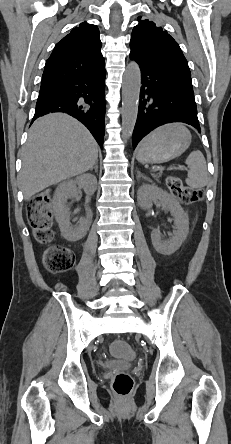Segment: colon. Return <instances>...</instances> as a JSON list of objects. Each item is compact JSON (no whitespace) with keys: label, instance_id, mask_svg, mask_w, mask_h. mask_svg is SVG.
<instances>
[{"label":"colon","instance_id":"1","mask_svg":"<svg viewBox=\"0 0 231 444\" xmlns=\"http://www.w3.org/2000/svg\"><path fill=\"white\" fill-rule=\"evenodd\" d=\"M166 184L171 193L185 205L196 203L202 200L204 196L203 189L185 186L181 179L175 175L169 176ZM27 214L36 240L40 243L50 242L53 231L49 194L42 192L31 198L28 203ZM43 262L51 273L59 274L68 271L73 266L74 255L67 248L52 246L44 252ZM110 349L112 354L118 357L129 359L133 356L131 346L121 340L112 342ZM133 385V378L127 372H118L112 379V388L120 396H127Z\"/></svg>","mask_w":231,"mask_h":444}]
</instances>
